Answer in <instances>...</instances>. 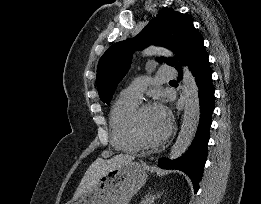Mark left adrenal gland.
Segmentation results:
<instances>
[{"label":"left adrenal gland","instance_id":"a2214340","mask_svg":"<svg viewBox=\"0 0 261 204\" xmlns=\"http://www.w3.org/2000/svg\"><path fill=\"white\" fill-rule=\"evenodd\" d=\"M161 194L162 193H157L156 195H152L148 192L140 204H152L156 198L160 197Z\"/></svg>","mask_w":261,"mask_h":204}]
</instances>
